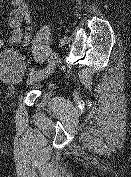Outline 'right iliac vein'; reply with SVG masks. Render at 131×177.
I'll list each match as a JSON object with an SVG mask.
<instances>
[{
  "label": "right iliac vein",
  "instance_id": "1",
  "mask_svg": "<svg viewBox=\"0 0 131 177\" xmlns=\"http://www.w3.org/2000/svg\"><path fill=\"white\" fill-rule=\"evenodd\" d=\"M55 54V53H54ZM57 63V56L55 54L54 60L51 61L52 67L49 70H45L44 73H41L40 71L34 72L29 77L27 84H31L33 82L41 81L45 78H47L55 69Z\"/></svg>",
  "mask_w": 131,
  "mask_h": 177
}]
</instances>
